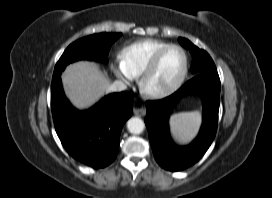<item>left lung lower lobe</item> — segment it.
Segmentation results:
<instances>
[{
  "instance_id": "0a47b994",
  "label": "left lung lower lobe",
  "mask_w": 272,
  "mask_h": 198,
  "mask_svg": "<svg viewBox=\"0 0 272 198\" xmlns=\"http://www.w3.org/2000/svg\"><path fill=\"white\" fill-rule=\"evenodd\" d=\"M200 91L203 98V122L196 139L188 146H176L169 134V114L185 95ZM220 79L216 71L196 74L171 96L147 101L145 123L158 164L166 170L180 171L196 163L211 145L217 130Z\"/></svg>"
}]
</instances>
